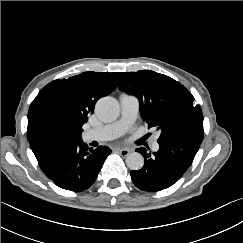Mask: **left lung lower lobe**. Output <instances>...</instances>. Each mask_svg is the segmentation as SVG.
Instances as JSON below:
<instances>
[{"mask_svg": "<svg viewBox=\"0 0 243 243\" xmlns=\"http://www.w3.org/2000/svg\"><path fill=\"white\" fill-rule=\"evenodd\" d=\"M202 130H187L159 142V150L151 155L143 147L136 149L144 157V166L131 171L133 183L140 190L156 192L178 181L192 164L203 140Z\"/></svg>", "mask_w": 243, "mask_h": 243, "instance_id": "1", "label": "left lung lower lobe"}]
</instances>
